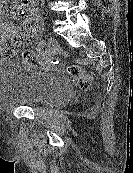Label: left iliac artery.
<instances>
[{
  "mask_svg": "<svg viewBox=\"0 0 133 173\" xmlns=\"http://www.w3.org/2000/svg\"><path fill=\"white\" fill-rule=\"evenodd\" d=\"M39 44H40V46L44 47V46L46 45V42H45L44 40H41V41L39 42Z\"/></svg>",
  "mask_w": 133,
  "mask_h": 173,
  "instance_id": "obj_1",
  "label": "left iliac artery"
}]
</instances>
